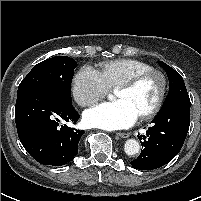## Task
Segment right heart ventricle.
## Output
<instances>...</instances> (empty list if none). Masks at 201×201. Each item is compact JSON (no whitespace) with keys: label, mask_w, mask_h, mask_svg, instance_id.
Here are the masks:
<instances>
[{"label":"right heart ventricle","mask_w":201,"mask_h":201,"mask_svg":"<svg viewBox=\"0 0 201 201\" xmlns=\"http://www.w3.org/2000/svg\"><path fill=\"white\" fill-rule=\"evenodd\" d=\"M149 69L152 67L142 61L123 58L102 63L100 73L109 88H116L132 75Z\"/></svg>","instance_id":"right-heart-ventricle-1"}]
</instances>
